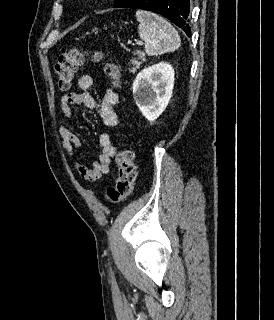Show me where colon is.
Wrapping results in <instances>:
<instances>
[{"mask_svg": "<svg viewBox=\"0 0 274 320\" xmlns=\"http://www.w3.org/2000/svg\"><path fill=\"white\" fill-rule=\"evenodd\" d=\"M85 50L74 47L62 53L55 65L54 71L57 84L61 90L67 91L72 86L78 66L82 64L85 58ZM103 52L96 51L93 54L94 61H100ZM106 69L111 77L115 80L120 76V71L116 65L107 64ZM118 162V178L114 186H110L106 190L107 199L112 203H120L129 197L134 189L135 181V165L133 153L129 149L120 151L117 156Z\"/></svg>", "mask_w": 274, "mask_h": 320, "instance_id": "1", "label": "colon"}]
</instances>
